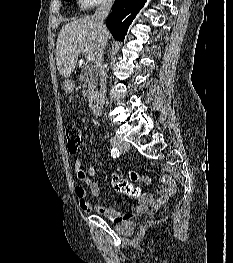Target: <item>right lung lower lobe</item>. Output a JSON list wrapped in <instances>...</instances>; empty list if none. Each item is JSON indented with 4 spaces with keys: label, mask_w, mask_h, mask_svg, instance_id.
Returning <instances> with one entry per match:
<instances>
[{
    "label": "right lung lower lobe",
    "mask_w": 233,
    "mask_h": 263,
    "mask_svg": "<svg viewBox=\"0 0 233 263\" xmlns=\"http://www.w3.org/2000/svg\"><path fill=\"white\" fill-rule=\"evenodd\" d=\"M146 0H115L106 25L116 40L123 41L129 25Z\"/></svg>",
    "instance_id": "1"
}]
</instances>
